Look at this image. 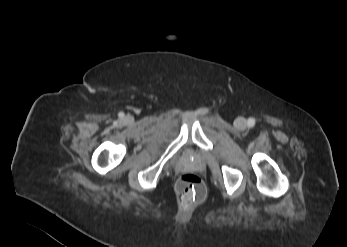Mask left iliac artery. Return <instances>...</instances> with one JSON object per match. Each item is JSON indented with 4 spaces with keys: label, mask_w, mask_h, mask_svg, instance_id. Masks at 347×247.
Segmentation results:
<instances>
[{
    "label": "left iliac artery",
    "mask_w": 347,
    "mask_h": 247,
    "mask_svg": "<svg viewBox=\"0 0 347 247\" xmlns=\"http://www.w3.org/2000/svg\"><path fill=\"white\" fill-rule=\"evenodd\" d=\"M254 124H255V119L249 118V119H248V125H249L250 127H253Z\"/></svg>",
    "instance_id": "1"
}]
</instances>
